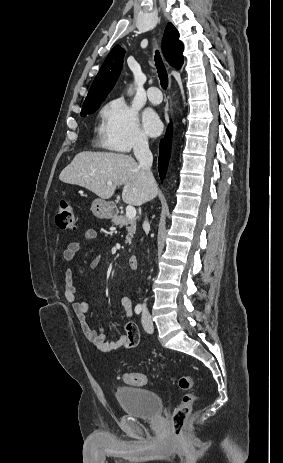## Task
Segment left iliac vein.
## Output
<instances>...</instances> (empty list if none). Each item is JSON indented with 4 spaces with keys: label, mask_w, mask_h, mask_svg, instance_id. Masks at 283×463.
Listing matches in <instances>:
<instances>
[{
    "label": "left iliac vein",
    "mask_w": 283,
    "mask_h": 463,
    "mask_svg": "<svg viewBox=\"0 0 283 463\" xmlns=\"http://www.w3.org/2000/svg\"><path fill=\"white\" fill-rule=\"evenodd\" d=\"M142 325L146 332L152 333L154 330L151 316L148 312H144L142 315Z\"/></svg>",
    "instance_id": "obj_1"
}]
</instances>
